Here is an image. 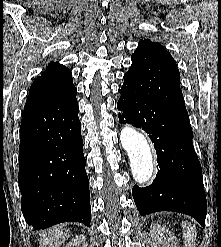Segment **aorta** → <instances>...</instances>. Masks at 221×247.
<instances>
[{
	"label": "aorta",
	"mask_w": 221,
	"mask_h": 247,
	"mask_svg": "<svg viewBox=\"0 0 221 247\" xmlns=\"http://www.w3.org/2000/svg\"><path fill=\"white\" fill-rule=\"evenodd\" d=\"M120 141L129 156L133 178L139 184L147 182L153 174V157L146 137L134 128L124 127Z\"/></svg>",
	"instance_id": "aorta-1"
}]
</instances>
